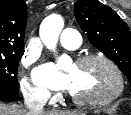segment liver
I'll list each match as a JSON object with an SVG mask.
<instances>
[{
	"instance_id": "1",
	"label": "liver",
	"mask_w": 131,
	"mask_h": 115,
	"mask_svg": "<svg viewBox=\"0 0 131 115\" xmlns=\"http://www.w3.org/2000/svg\"><path fill=\"white\" fill-rule=\"evenodd\" d=\"M0 115H32V114L30 111H27L21 106L18 105L7 106L0 103ZM40 115H76V114L73 112L51 110L48 112H43Z\"/></svg>"
}]
</instances>
